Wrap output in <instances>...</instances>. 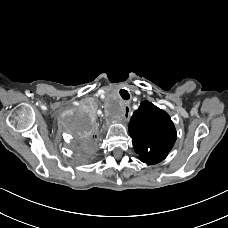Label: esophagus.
Here are the masks:
<instances>
[{
	"instance_id": "obj_1",
	"label": "esophagus",
	"mask_w": 228,
	"mask_h": 228,
	"mask_svg": "<svg viewBox=\"0 0 228 228\" xmlns=\"http://www.w3.org/2000/svg\"><path fill=\"white\" fill-rule=\"evenodd\" d=\"M124 115L130 117L131 115V107L128 104L124 105Z\"/></svg>"
}]
</instances>
